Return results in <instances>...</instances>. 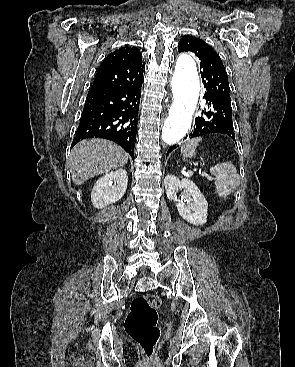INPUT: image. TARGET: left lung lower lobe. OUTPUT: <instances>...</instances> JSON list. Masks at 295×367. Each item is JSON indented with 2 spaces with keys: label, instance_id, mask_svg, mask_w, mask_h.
<instances>
[{
  "label": "left lung lower lobe",
  "instance_id": "left-lung-lower-lobe-1",
  "mask_svg": "<svg viewBox=\"0 0 295 367\" xmlns=\"http://www.w3.org/2000/svg\"><path fill=\"white\" fill-rule=\"evenodd\" d=\"M204 98L208 105V109L203 111L204 116L196 118L194 130L187 136L195 138L207 134L218 133L227 135L236 142L232 122L230 96L209 91L205 93ZM176 147L177 145L171 146L167 154Z\"/></svg>",
  "mask_w": 295,
  "mask_h": 367
}]
</instances>
